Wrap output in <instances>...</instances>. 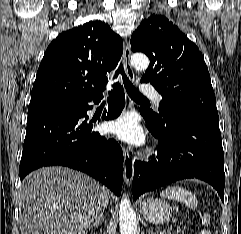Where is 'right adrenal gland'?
Segmentation results:
<instances>
[{
	"label": "right adrenal gland",
	"instance_id": "2a0ac1e0",
	"mask_svg": "<svg viewBox=\"0 0 241 234\" xmlns=\"http://www.w3.org/2000/svg\"><path fill=\"white\" fill-rule=\"evenodd\" d=\"M102 218H103V213H100L98 216H96L94 219V222L89 225V229H91L94 226L98 228L99 225L101 224Z\"/></svg>",
	"mask_w": 241,
	"mask_h": 234
}]
</instances>
